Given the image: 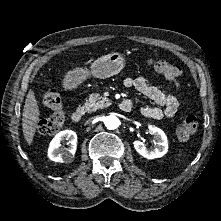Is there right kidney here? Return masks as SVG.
<instances>
[{
    "mask_svg": "<svg viewBox=\"0 0 221 221\" xmlns=\"http://www.w3.org/2000/svg\"><path fill=\"white\" fill-rule=\"evenodd\" d=\"M68 141V148H61L63 140ZM77 147V135L72 130L59 132L51 140L48 148V157L54 162H72Z\"/></svg>",
    "mask_w": 221,
    "mask_h": 221,
    "instance_id": "ca27d5eb",
    "label": "right kidney"
}]
</instances>
